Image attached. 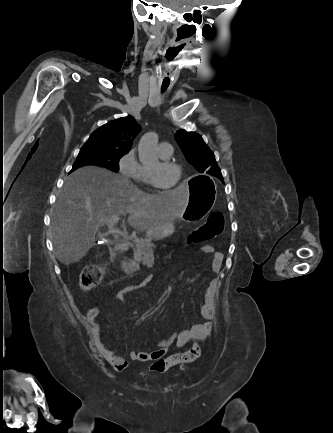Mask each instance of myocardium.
I'll return each instance as SVG.
<instances>
[{"instance_id":"obj_1","label":"myocardium","mask_w":333,"mask_h":433,"mask_svg":"<svg viewBox=\"0 0 333 433\" xmlns=\"http://www.w3.org/2000/svg\"><path fill=\"white\" fill-rule=\"evenodd\" d=\"M161 164H162L163 166H166V167H172V168L176 169L177 174H178V176H179V174H180V166H179L176 162L171 161V160H167V159H162V160H161ZM148 176H149V181H150V183H151L154 187H156L157 189H159V190H161V191H163V192H172V191H174V190L177 188V186H178V178H177V180L175 181L174 185H173L171 188H165V187L161 186V185L157 182V180H156L154 174H153L149 169H148Z\"/></svg>"}]
</instances>
